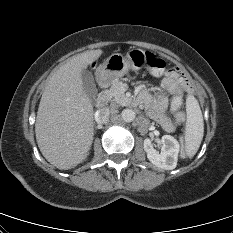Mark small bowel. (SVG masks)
<instances>
[{"instance_id": "c3829d8e", "label": "small bowel", "mask_w": 233, "mask_h": 233, "mask_svg": "<svg viewBox=\"0 0 233 233\" xmlns=\"http://www.w3.org/2000/svg\"><path fill=\"white\" fill-rule=\"evenodd\" d=\"M181 90L190 92L191 86L185 72L180 68L174 67L166 72L156 90L155 96L150 95L144 88L140 92V100L145 104L149 116L167 130L174 129L175 125L183 120V114L177 113L174 120H170L165 116V110L168 105L165 92L176 94Z\"/></svg>"}]
</instances>
